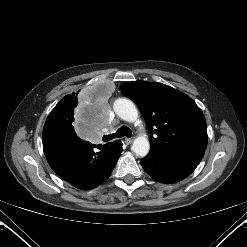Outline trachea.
I'll return each instance as SVG.
<instances>
[{
  "mask_svg": "<svg viewBox=\"0 0 247 247\" xmlns=\"http://www.w3.org/2000/svg\"><path fill=\"white\" fill-rule=\"evenodd\" d=\"M124 136H126L128 138H130L132 136V131L127 126H122L114 134L104 135L103 138H102V140L104 142H107V141H110V140L114 139L115 137H124Z\"/></svg>",
  "mask_w": 247,
  "mask_h": 247,
  "instance_id": "3493384b",
  "label": "trachea"
}]
</instances>
